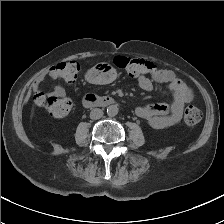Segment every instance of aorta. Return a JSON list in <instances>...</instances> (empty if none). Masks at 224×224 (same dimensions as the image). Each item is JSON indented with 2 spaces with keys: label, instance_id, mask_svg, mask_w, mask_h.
Instances as JSON below:
<instances>
[{
  "label": "aorta",
  "instance_id": "762f6f07",
  "mask_svg": "<svg viewBox=\"0 0 224 224\" xmlns=\"http://www.w3.org/2000/svg\"><path fill=\"white\" fill-rule=\"evenodd\" d=\"M118 111H119V109H118L117 105H110V106L107 107V114L109 116L117 115Z\"/></svg>",
  "mask_w": 224,
  "mask_h": 224
}]
</instances>
